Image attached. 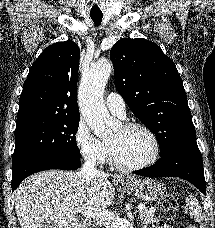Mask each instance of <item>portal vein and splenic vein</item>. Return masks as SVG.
<instances>
[{"mask_svg":"<svg viewBox=\"0 0 215 228\" xmlns=\"http://www.w3.org/2000/svg\"><path fill=\"white\" fill-rule=\"evenodd\" d=\"M138 210H145V206L143 204H139ZM78 214H82V216H86V218H94L97 222H104V220H112L114 218L113 212H109V210H84V212H78Z\"/></svg>","mask_w":215,"mask_h":228,"instance_id":"1","label":"portal vein and splenic vein"}]
</instances>
